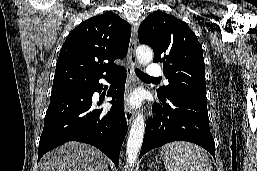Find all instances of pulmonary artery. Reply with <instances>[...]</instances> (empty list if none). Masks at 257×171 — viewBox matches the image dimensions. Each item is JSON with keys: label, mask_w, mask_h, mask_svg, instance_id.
<instances>
[{"label": "pulmonary artery", "mask_w": 257, "mask_h": 171, "mask_svg": "<svg viewBox=\"0 0 257 171\" xmlns=\"http://www.w3.org/2000/svg\"><path fill=\"white\" fill-rule=\"evenodd\" d=\"M147 75L151 78L162 76V71L157 63H150L147 68Z\"/></svg>", "instance_id": "1"}]
</instances>
